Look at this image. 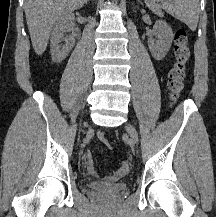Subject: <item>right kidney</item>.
<instances>
[{"label": "right kidney", "instance_id": "right-kidney-1", "mask_svg": "<svg viewBox=\"0 0 216 217\" xmlns=\"http://www.w3.org/2000/svg\"><path fill=\"white\" fill-rule=\"evenodd\" d=\"M74 25V14L72 13L63 15L55 24L50 44L51 56L54 62H61L73 48L74 36H65L64 34L70 32ZM63 40H65V44L63 46L59 45Z\"/></svg>", "mask_w": 216, "mask_h": 217}]
</instances>
